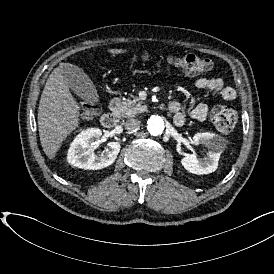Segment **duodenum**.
I'll return each instance as SVG.
<instances>
[{
  "label": "duodenum",
  "mask_w": 274,
  "mask_h": 274,
  "mask_svg": "<svg viewBox=\"0 0 274 274\" xmlns=\"http://www.w3.org/2000/svg\"><path fill=\"white\" fill-rule=\"evenodd\" d=\"M119 99L114 97L109 101V111L101 117V124L105 129H114L118 126L119 116L117 114Z\"/></svg>",
  "instance_id": "obj_1"
}]
</instances>
